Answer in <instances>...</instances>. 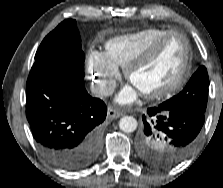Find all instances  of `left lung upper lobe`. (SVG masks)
Returning <instances> with one entry per match:
<instances>
[{
    "mask_svg": "<svg viewBox=\"0 0 223 188\" xmlns=\"http://www.w3.org/2000/svg\"><path fill=\"white\" fill-rule=\"evenodd\" d=\"M208 87L207 69L201 66L178 95L160 105L166 109L190 110L204 114L208 100ZM143 139L145 144L139 147L140 157L155 166H168L165 158L169 148L163 143L158 132L154 131L152 136H144Z\"/></svg>",
    "mask_w": 223,
    "mask_h": 188,
    "instance_id": "left-lung-upper-lobe-1",
    "label": "left lung upper lobe"
}]
</instances>
